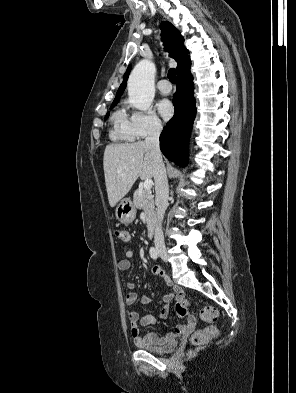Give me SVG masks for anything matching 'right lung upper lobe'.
<instances>
[{
	"mask_svg": "<svg viewBox=\"0 0 296 393\" xmlns=\"http://www.w3.org/2000/svg\"><path fill=\"white\" fill-rule=\"evenodd\" d=\"M160 29L164 45L166 46L170 57L174 58L177 61L176 71L178 73L185 66L191 63L190 57L188 56L189 52L184 47V38L181 36L180 32L168 21L162 22L160 24ZM130 68L131 66L128 67L126 73L124 74L123 82L117 91L114 101L119 100L126 87Z\"/></svg>",
	"mask_w": 296,
	"mask_h": 393,
	"instance_id": "cb5924a9",
	"label": "right lung upper lobe"
}]
</instances>
